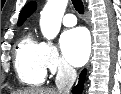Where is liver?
Listing matches in <instances>:
<instances>
[{"instance_id":"obj_1","label":"liver","mask_w":121,"mask_h":94,"mask_svg":"<svg viewBox=\"0 0 121 94\" xmlns=\"http://www.w3.org/2000/svg\"><path fill=\"white\" fill-rule=\"evenodd\" d=\"M18 94H60V93L51 88H32L20 91Z\"/></svg>"}]
</instances>
